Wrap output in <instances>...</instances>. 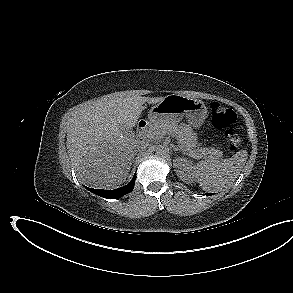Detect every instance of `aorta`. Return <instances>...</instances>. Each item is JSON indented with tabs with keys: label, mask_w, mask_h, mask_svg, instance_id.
I'll list each match as a JSON object with an SVG mask.
<instances>
[{
	"label": "aorta",
	"mask_w": 293,
	"mask_h": 293,
	"mask_svg": "<svg viewBox=\"0 0 293 293\" xmlns=\"http://www.w3.org/2000/svg\"><path fill=\"white\" fill-rule=\"evenodd\" d=\"M156 154L157 155H159V156H164V155H166L167 153H168V148L167 147H165L164 145H158L157 147H156Z\"/></svg>",
	"instance_id": "762f6f07"
}]
</instances>
